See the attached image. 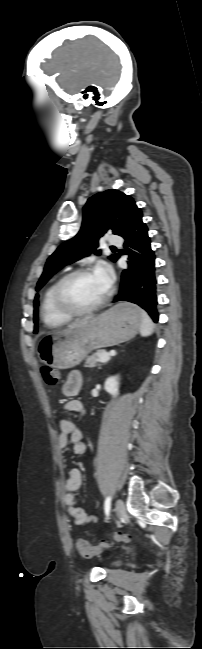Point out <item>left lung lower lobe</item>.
Segmentation results:
<instances>
[{
  "label": "left lung lower lobe",
  "mask_w": 202,
  "mask_h": 649,
  "mask_svg": "<svg viewBox=\"0 0 202 649\" xmlns=\"http://www.w3.org/2000/svg\"><path fill=\"white\" fill-rule=\"evenodd\" d=\"M122 237L125 239V253L129 255V261L128 269L121 273L120 289L114 302L129 301L138 304L157 322L159 314L156 309L155 255L142 216L132 221Z\"/></svg>",
  "instance_id": "0a47b994"
}]
</instances>
